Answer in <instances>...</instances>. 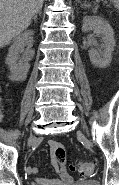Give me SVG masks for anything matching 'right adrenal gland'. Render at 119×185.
Instances as JSON below:
<instances>
[{
    "label": "right adrenal gland",
    "mask_w": 119,
    "mask_h": 185,
    "mask_svg": "<svg viewBox=\"0 0 119 185\" xmlns=\"http://www.w3.org/2000/svg\"><path fill=\"white\" fill-rule=\"evenodd\" d=\"M38 14H39V16H41L42 12L39 11L38 13H36V14L34 15V17H33V20H34V21H36Z\"/></svg>",
    "instance_id": "obj_1"
}]
</instances>
